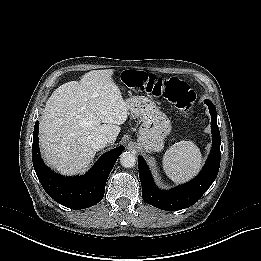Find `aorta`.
<instances>
[{"mask_svg":"<svg viewBox=\"0 0 261 261\" xmlns=\"http://www.w3.org/2000/svg\"><path fill=\"white\" fill-rule=\"evenodd\" d=\"M120 164L124 168H132L136 164V155L133 152L125 151L120 155Z\"/></svg>","mask_w":261,"mask_h":261,"instance_id":"762f6f07","label":"aorta"}]
</instances>
